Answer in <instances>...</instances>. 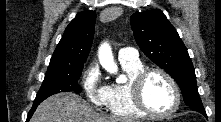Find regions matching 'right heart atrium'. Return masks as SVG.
<instances>
[{"mask_svg":"<svg viewBox=\"0 0 221 122\" xmlns=\"http://www.w3.org/2000/svg\"><path fill=\"white\" fill-rule=\"evenodd\" d=\"M82 87L86 97L94 105H106L108 88L100 82V71L95 63H91L83 73Z\"/></svg>","mask_w":221,"mask_h":122,"instance_id":"1","label":"right heart atrium"}]
</instances>
